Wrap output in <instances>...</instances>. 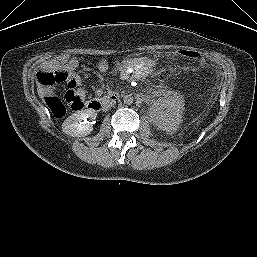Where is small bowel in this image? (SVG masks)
<instances>
[{"label": "small bowel", "mask_w": 257, "mask_h": 257, "mask_svg": "<svg viewBox=\"0 0 257 257\" xmlns=\"http://www.w3.org/2000/svg\"><path fill=\"white\" fill-rule=\"evenodd\" d=\"M77 67V58L66 59L65 57H62L46 63L43 66V70L60 71L64 76L62 82H66L68 86L72 87L76 86V84L79 82V76L76 72ZM96 67L100 72H105L109 68V63L107 60L102 59L97 62ZM39 91L43 96L52 93V89L50 87H44L42 85H40Z\"/></svg>", "instance_id": "1"}]
</instances>
